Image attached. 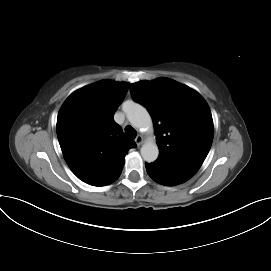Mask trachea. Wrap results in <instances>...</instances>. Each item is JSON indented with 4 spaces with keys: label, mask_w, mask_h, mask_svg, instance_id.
Listing matches in <instances>:
<instances>
[{
    "label": "trachea",
    "mask_w": 271,
    "mask_h": 271,
    "mask_svg": "<svg viewBox=\"0 0 271 271\" xmlns=\"http://www.w3.org/2000/svg\"><path fill=\"white\" fill-rule=\"evenodd\" d=\"M125 133L130 138H135L136 134H137L136 130L132 126H130V125L126 126Z\"/></svg>",
    "instance_id": "3493384b"
}]
</instances>
